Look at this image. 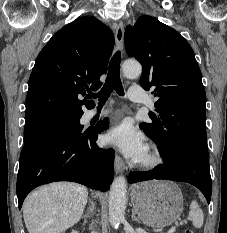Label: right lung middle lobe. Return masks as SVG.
Returning a JSON list of instances; mask_svg holds the SVG:
<instances>
[{
    "label": "right lung middle lobe",
    "mask_w": 227,
    "mask_h": 233,
    "mask_svg": "<svg viewBox=\"0 0 227 233\" xmlns=\"http://www.w3.org/2000/svg\"><path fill=\"white\" fill-rule=\"evenodd\" d=\"M83 126L80 124V120L75 119L73 121L67 122L65 124H62L56 128H53L51 130L38 133V134H32V135H24V143H30L32 141L50 136V135H56V134H78L82 132Z\"/></svg>",
    "instance_id": "obj_1"
}]
</instances>
